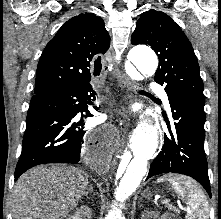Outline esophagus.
I'll use <instances>...</instances> for the list:
<instances>
[{"label": "esophagus", "mask_w": 221, "mask_h": 219, "mask_svg": "<svg viewBox=\"0 0 221 219\" xmlns=\"http://www.w3.org/2000/svg\"><path fill=\"white\" fill-rule=\"evenodd\" d=\"M120 81H121V84H122V87L126 90L127 92V95L125 97V107L123 108V111H126V109L128 108L127 105L133 101V93H132V88H133V85L130 81V78L124 74V73H121L120 74Z\"/></svg>", "instance_id": "esophagus-1"}]
</instances>
